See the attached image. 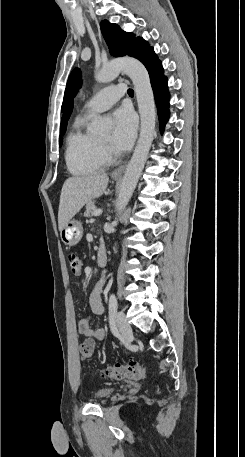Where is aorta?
Here are the masks:
<instances>
[{"label":"aorta","mask_w":245,"mask_h":457,"mask_svg":"<svg viewBox=\"0 0 245 457\" xmlns=\"http://www.w3.org/2000/svg\"><path fill=\"white\" fill-rule=\"evenodd\" d=\"M121 71L125 72L134 84L141 127L137 145L120 185L116 203L118 212L125 209L136 188L154 139L156 124L153 90L149 74L141 62L133 58L113 60L97 71L95 78L100 83H108L114 80ZM110 125L109 118L97 116L92 123V131L97 134L105 133Z\"/></svg>","instance_id":"obj_1"}]
</instances>
